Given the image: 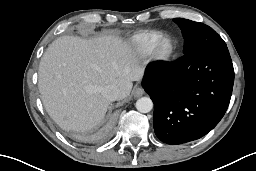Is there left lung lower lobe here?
<instances>
[{"instance_id":"obj_1","label":"left lung lower lobe","mask_w":256,"mask_h":171,"mask_svg":"<svg viewBox=\"0 0 256 171\" xmlns=\"http://www.w3.org/2000/svg\"><path fill=\"white\" fill-rule=\"evenodd\" d=\"M233 82L226 44L193 49L173 63H150L142 86L154 102L157 137L168 144H182L207 134L224 116Z\"/></svg>"}]
</instances>
